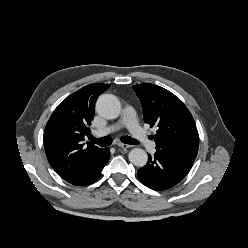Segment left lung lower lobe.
Masks as SVG:
<instances>
[{
	"instance_id": "1",
	"label": "left lung lower lobe",
	"mask_w": 248,
	"mask_h": 248,
	"mask_svg": "<svg viewBox=\"0 0 248 248\" xmlns=\"http://www.w3.org/2000/svg\"><path fill=\"white\" fill-rule=\"evenodd\" d=\"M192 163L155 153L148 155L147 164L138 170L141 182L153 190H167L178 184L190 171Z\"/></svg>"
}]
</instances>
